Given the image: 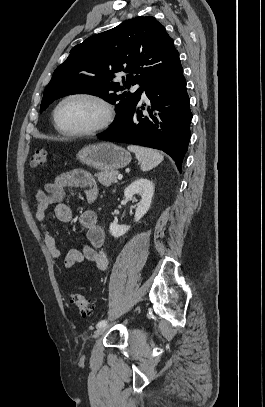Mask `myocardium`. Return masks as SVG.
I'll list each match as a JSON object with an SVG mask.
<instances>
[{
	"mask_svg": "<svg viewBox=\"0 0 265 407\" xmlns=\"http://www.w3.org/2000/svg\"><path fill=\"white\" fill-rule=\"evenodd\" d=\"M75 98H81V99H87L90 101L95 102L98 104L103 112H104V117L99 122L98 124L86 128V129H81V130H69L61 127L59 120H58V112L61 108V106L67 102L68 100L75 99ZM115 119V109L114 106L109 102L106 98L95 94L91 92H74L70 93L66 96H64L55 106L53 110V121L55 128L57 131L63 135L66 136H71V137H83V136H91V135H96L98 133H101L105 130H107L113 123Z\"/></svg>",
	"mask_w": 265,
	"mask_h": 407,
	"instance_id": "1",
	"label": "myocardium"
}]
</instances>
